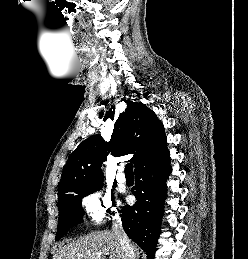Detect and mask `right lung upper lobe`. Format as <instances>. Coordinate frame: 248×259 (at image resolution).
Returning <instances> with one entry per match:
<instances>
[{
    "mask_svg": "<svg viewBox=\"0 0 248 259\" xmlns=\"http://www.w3.org/2000/svg\"><path fill=\"white\" fill-rule=\"evenodd\" d=\"M166 145L164 126L156 114L142 103L129 101L114 125L109 143L94 135L70 154L62 172L58 197L103 182L101 165L110 152L115 157L134 154L130 161L136 168L166 153Z\"/></svg>",
    "mask_w": 248,
    "mask_h": 259,
    "instance_id": "1",
    "label": "right lung upper lobe"
}]
</instances>
